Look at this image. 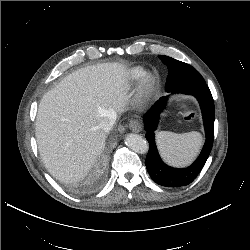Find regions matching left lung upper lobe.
Wrapping results in <instances>:
<instances>
[{"label": "left lung upper lobe", "mask_w": 250, "mask_h": 250, "mask_svg": "<svg viewBox=\"0 0 250 250\" xmlns=\"http://www.w3.org/2000/svg\"><path fill=\"white\" fill-rule=\"evenodd\" d=\"M159 58L167 65L169 71L165 85L167 92L182 86L205 82L192 66L164 55H160Z\"/></svg>", "instance_id": "left-lung-upper-lobe-1"}]
</instances>
